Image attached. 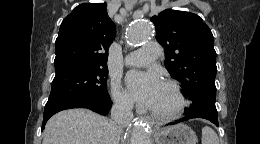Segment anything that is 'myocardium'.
I'll list each match as a JSON object with an SVG mask.
<instances>
[{
	"instance_id": "obj_1",
	"label": "myocardium",
	"mask_w": 260,
	"mask_h": 144,
	"mask_svg": "<svg viewBox=\"0 0 260 144\" xmlns=\"http://www.w3.org/2000/svg\"><path fill=\"white\" fill-rule=\"evenodd\" d=\"M165 86H167L173 93L175 100H176V105L174 108L170 110H154L151 109L150 112L153 116L162 118V119H175L178 118L179 116L182 115L184 112L187 102L184 97V94L178 85L177 82L173 80H165L163 82Z\"/></svg>"
}]
</instances>
